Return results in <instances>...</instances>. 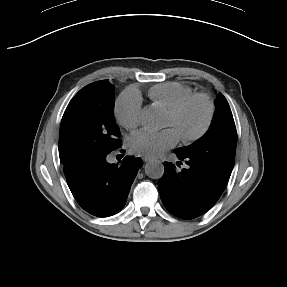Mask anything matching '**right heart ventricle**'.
<instances>
[{
    "mask_svg": "<svg viewBox=\"0 0 287 287\" xmlns=\"http://www.w3.org/2000/svg\"><path fill=\"white\" fill-rule=\"evenodd\" d=\"M191 94L193 90L190 86L176 81L157 84L148 91L154 106L166 112Z\"/></svg>",
    "mask_w": 287,
    "mask_h": 287,
    "instance_id": "1",
    "label": "right heart ventricle"
}]
</instances>
